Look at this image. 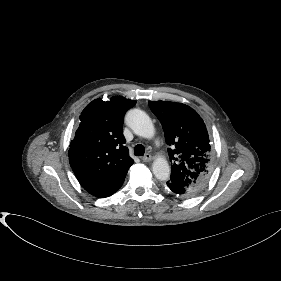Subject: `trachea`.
<instances>
[{
  "mask_svg": "<svg viewBox=\"0 0 281 281\" xmlns=\"http://www.w3.org/2000/svg\"><path fill=\"white\" fill-rule=\"evenodd\" d=\"M145 153V148L142 144H138L134 148V155L136 156H143Z\"/></svg>",
  "mask_w": 281,
  "mask_h": 281,
  "instance_id": "1",
  "label": "trachea"
}]
</instances>
